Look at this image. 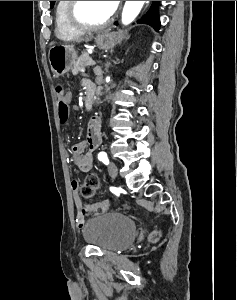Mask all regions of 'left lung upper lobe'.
I'll list each match as a JSON object with an SVG mask.
<instances>
[{"instance_id":"5c2ea615","label":"left lung upper lobe","mask_w":237,"mask_h":300,"mask_svg":"<svg viewBox=\"0 0 237 300\" xmlns=\"http://www.w3.org/2000/svg\"><path fill=\"white\" fill-rule=\"evenodd\" d=\"M55 1H50V7L53 8ZM159 1H153L150 10L139 20L140 23H146L152 26L156 31L160 28V20L158 15Z\"/></svg>"}]
</instances>
